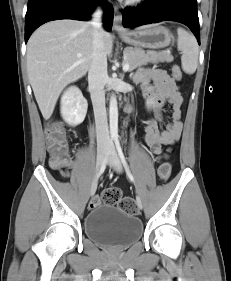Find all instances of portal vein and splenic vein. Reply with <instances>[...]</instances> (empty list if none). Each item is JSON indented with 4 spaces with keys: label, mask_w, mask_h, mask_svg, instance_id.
Instances as JSON below:
<instances>
[{
    "label": "portal vein and splenic vein",
    "mask_w": 231,
    "mask_h": 281,
    "mask_svg": "<svg viewBox=\"0 0 231 281\" xmlns=\"http://www.w3.org/2000/svg\"><path fill=\"white\" fill-rule=\"evenodd\" d=\"M129 68H130V66H129L128 63H125V64L123 65V71H124V72H127V71L129 70Z\"/></svg>",
    "instance_id": "portal-vein-and-splenic-vein-1"
}]
</instances>
